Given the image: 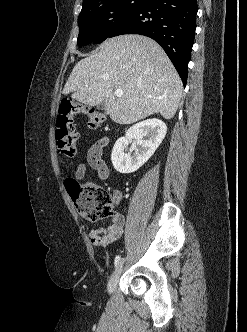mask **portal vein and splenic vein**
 Returning <instances> with one entry per match:
<instances>
[{
  "label": "portal vein and splenic vein",
  "mask_w": 247,
  "mask_h": 332,
  "mask_svg": "<svg viewBox=\"0 0 247 332\" xmlns=\"http://www.w3.org/2000/svg\"><path fill=\"white\" fill-rule=\"evenodd\" d=\"M114 94H115L116 96L120 97V96L123 95V91H122L121 89H116V90L114 91Z\"/></svg>",
  "instance_id": "obj_1"
}]
</instances>
